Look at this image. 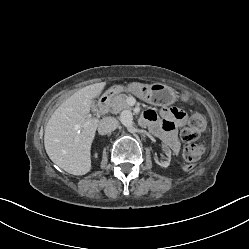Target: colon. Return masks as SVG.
Listing matches in <instances>:
<instances>
[{
    "mask_svg": "<svg viewBox=\"0 0 249 249\" xmlns=\"http://www.w3.org/2000/svg\"><path fill=\"white\" fill-rule=\"evenodd\" d=\"M180 98L182 101H186L188 96L186 94H182ZM207 128V118L202 114L194 113L189 119L188 126L181 131L180 137L183 142L187 143L183 153L187 162H196L203 155L204 147L195 141L202 132L207 130Z\"/></svg>",
    "mask_w": 249,
    "mask_h": 249,
    "instance_id": "5ec220e1",
    "label": "colon"
}]
</instances>
